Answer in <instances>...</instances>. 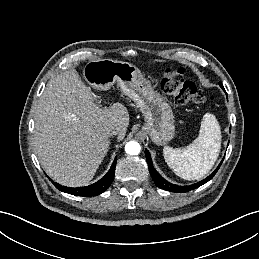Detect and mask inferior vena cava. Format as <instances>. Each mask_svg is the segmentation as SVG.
Segmentation results:
<instances>
[{
	"label": "inferior vena cava",
	"instance_id": "obj_1",
	"mask_svg": "<svg viewBox=\"0 0 259 259\" xmlns=\"http://www.w3.org/2000/svg\"><path fill=\"white\" fill-rule=\"evenodd\" d=\"M107 133L109 136L118 135L120 133V129L118 127H112Z\"/></svg>",
	"mask_w": 259,
	"mask_h": 259
}]
</instances>
